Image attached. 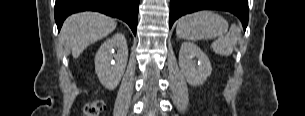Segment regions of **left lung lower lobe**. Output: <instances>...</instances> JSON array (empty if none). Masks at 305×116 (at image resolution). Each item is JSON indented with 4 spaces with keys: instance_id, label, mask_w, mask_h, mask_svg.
Segmentation results:
<instances>
[{
    "instance_id": "0a47b994",
    "label": "left lung lower lobe",
    "mask_w": 305,
    "mask_h": 116,
    "mask_svg": "<svg viewBox=\"0 0 305 116\" xmlns=\"http://www.w3.org/2000/svg\"><path fill=\"white\" fill-rule=\"evenodd\" d=\"M203 9L225 10L236 15L246 29L249 10L248 0H171L170 27L180 16Z\"/></svg>"
}]
</instances>
